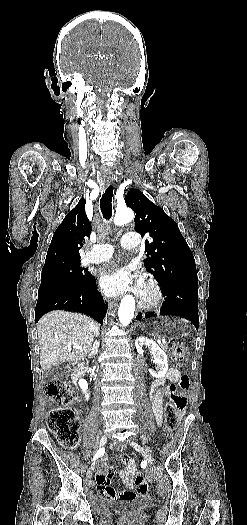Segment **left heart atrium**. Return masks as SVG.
<instances>
[{"mask_svg": "<svg viewBox=\"0 0 247 525\" xmlns=\"http://www.w3.org/2000/svg\"><path fill=\"white\" fill-rule=\"evenodd\" d=\"M135 259L128 253H119L114 260L101 265V272H97V280L101 288L110 294H118L127 290L141 291L142 283L132 270H125L123 263Z\"/></svg>", "mask_w": 247, "mask_h": 525, "instance_id": "obj_1", "label": "left heart atrium"}]
</instances>
